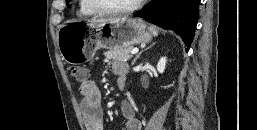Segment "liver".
<instances>
[{
  "instance_id": "6515ba94",
  "label": "liver",
  "mask_w": 257,
  "mask_h": 130,
  "mask_svg": "<svg viewBox=\"0 0 257 130\" xmlns=\"http://www.w3.org/2000/svg\"><path fill=\"white\" fill-rule=\"evenodd\" d=\"M107 19H93L90 21L91 24H96V23H102L105 22Z\"/></svg>"
}]
</instances>
